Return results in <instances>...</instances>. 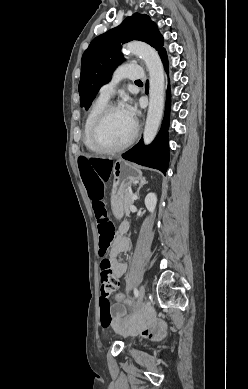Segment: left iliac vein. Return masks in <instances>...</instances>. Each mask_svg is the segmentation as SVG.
Segmentation results:
<instances>
[{"mask_svg": "<svg viewBox=\"0 0 248 389\" xmlns=\"http://www.w3.org/2000/svg\"><path fill=\"white\" fill-rule=\"evenodd\" d=\"M146 288L145 285H141L138 292V300H137V308L142 304L143 299L145 297Z\"/></svg>", "mask_w": 248, "mask_h": 389, "instance_id": "obj_1", "label": "left iliac vein"}]
</instances>
